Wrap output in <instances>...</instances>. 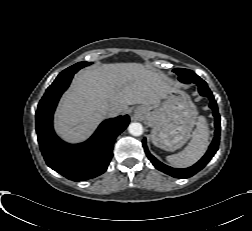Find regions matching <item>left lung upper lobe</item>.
Listing matches in <instances>:
<instances>
[{"mask_svg":"<svg viewBox=\"0 0 252 231\" xmlns=\"http://www.w3.org/2000/svg\"><path fill=\"white\" fill-rule=\"evenodd\" d=\"M178 75V79L181 82H186L189 78H195L198 75H196L193 71L183 68H176L173 70Z\"/></svg>","mask_w":252,"mask_h":231,"instance_id":"5c2ea615","label":"left lung upper lobe"}]
</instances>
